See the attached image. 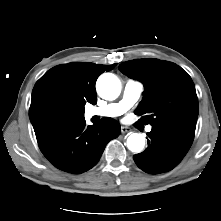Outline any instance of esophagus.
I'll return each instance as SVG.
<instances>
[{
  "instance_id": "obj_1",
  "label": "esophagus",
  "mask_w": 221,
  "mask_h": 221,
  "mask_svg": "<svg viewBox=\"0 0 221 221\" xmlns=\"http://www.w3.org/2000/svg\"><path fill=\"white\" fill-rule=\"evenodd\" d=\"M130 131H131V129H130L129 127H127V126H122V127H121V132H122L123 134L128 133V132H130Z\"/></svg>"
}]
</instances>
